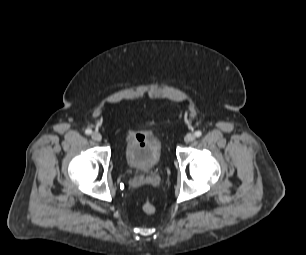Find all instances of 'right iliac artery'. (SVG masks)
<instances>
[{"label": "right iliac artery", "instance_id": "right-iliac-artery-1", "mask_svg": "<svg viewBox=\"0 0 306 255\" xmlns=\"http://www.w3.org/2000/svg\"><path fill=\"white\" fill-rule=\"evenodd\" d=\"M85 133H86L87 135H90V134L92 133V130H91V129H86Z\"/></svg>", "mask_w": 306, "mask_h": 255}]
</instances>
